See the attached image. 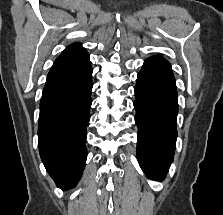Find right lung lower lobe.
Instances as JSON below:
<instances>
[{
	"mask_svg": "<svg viewBox=\"0 0 223 215\" xmlns=\"http://www.w3.org/2000/svg\"><path fill=\"white\" fill-rule=\"evenodd\" d=\"M91 90V68L77 78L43 89L39 152L46 170L62 190L74 188L85 167Z\"/></svg>",
	"mask_w": 223,
	"mask_h": 215,
	"instance_id": "1",
	"label": "right lung lower lobe"
}]
</instances>
